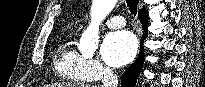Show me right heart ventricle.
Instances as JSON below:
<instances>
[{
	"instance_id": "right-heart-ventricle-1",
	"label": "right heart ventricle",
	"mask_w": 205,
	"mask_h": 87,
	"mask_svg": "<svg viewBox=\"0 0 205 87\" xmlns=\"http://www.w3.org/2000/svg\"><path fill=\"white\" fill-rule=\"evenodd\" d=\"M82 56L64 39L55 49L53 69L62 80L84 82L87 78L81 73Z\"/></svg>"
}]
</instances>
